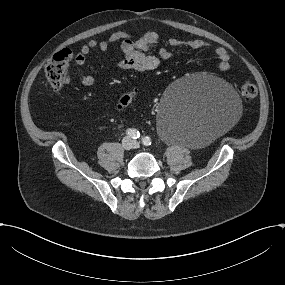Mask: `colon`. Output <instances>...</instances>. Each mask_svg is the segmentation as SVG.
Masks as SVG:
<instances>
[{
  "label": "colon",
  "instance_id": "1",
  "mask_svg": "<svg viewBox=\"0 0 285 285\" xmlns=\"http://www.w3.org/2000/svg\"><path fill=\"white\" fill-rule=\"evenodd\" d=\"M72 59L71 51L63 49L48 61L45 74L49 83L53 86H61L68 76L69 64ZM240 95L245 101H253L257 97V87L251 82H245L240 87ZM135 92L131 91L121 97L118 108L122 109L127 106L134 98Z\"/></svg>",
  "mask_w": 285,
  "mask_h": 285
}]
</instances>
